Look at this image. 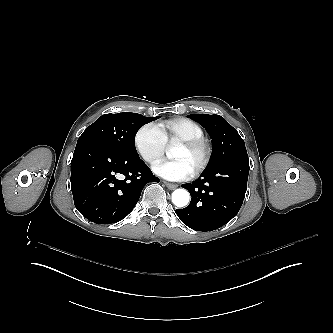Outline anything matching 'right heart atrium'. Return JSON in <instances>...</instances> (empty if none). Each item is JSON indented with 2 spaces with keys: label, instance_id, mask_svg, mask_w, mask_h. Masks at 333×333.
<instances>
[{
  "label": "right heart atrium",
  "instance_id": "right-heart-atrium-1",
  "mask_svg": "<svg viewBox=\"0 0 333 333\" xmlns=\"http://www.w3.org/2000/svg\"><path fill=\"white\" fill-rule=\"evenodd\" d=\"M134 147L143 161L153 168L163 157L166 139L159 126L154 123L144 125L135 135Z\"/></svg>",
  "mask_w": 333,
  "mask_h": 333
}]
</instances>
